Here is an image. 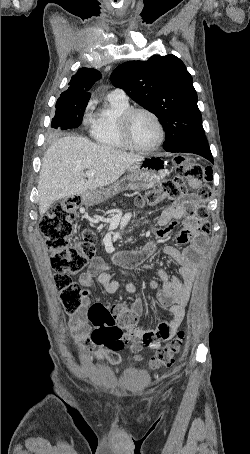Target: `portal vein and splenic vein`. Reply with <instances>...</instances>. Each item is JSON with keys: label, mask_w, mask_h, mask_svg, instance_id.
<instances>
[{"label": "portal vein and splenic vein", "mask_w": 250, "mask_h": 454, "mask_svg": "<svg viewBox=\"0 0 250 454\" xmlns=\"http://www.w3.org/2000/svg\"><path fill=\"white\" fill-rule=\"evenodd\" d=\"M94 175H95V170H89V171H87L86 174H85V176H86L87 178H92V177H94Z\"/></svg>", "instance_id": "obj_1"}]
</instances>
